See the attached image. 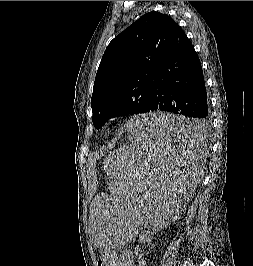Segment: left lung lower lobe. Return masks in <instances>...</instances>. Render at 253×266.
Returning <instances> with one entry per match:
<instances>
[{
  "instance_id": "obj_1",
  "label": "left lung lower lobe",
  "mask_w": 253,
  "mask_h": 266,
  "mask_svg": "<svg viewBox=\"0 0 253 266\" xmlns=\"http://www.w3.org/2000/svg\"><path fill=\"white\" fill-rule=\"evenodd\" d=\"M145 110H161L193 118L191 122L155 127L156 132L178 140L200 137L209 126L201 63L178 24L158 60Z\"/></svg>"
}]
</instances>
